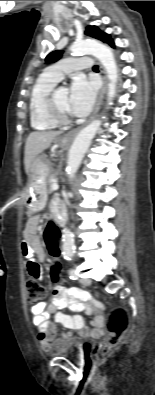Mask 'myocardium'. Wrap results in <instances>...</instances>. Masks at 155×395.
I'll use <instances>...</instances> for the list:
<instances>
[{"instance_id": "myocardium-1", "label": "myocardium", "mask_w": 155, "mask_h": 395, "mask_svg": "<svg viewBox=\"0 0 155 395\" xmlns=\"http://www.w3.org/2000/svg\"><path fill=\"white\" fill-rule=\"evenodd\" d=\"M59 87H54L45 99V111L48 117L57 125H66L71 122L70 117L63 113L56 102V93Z\"/></svg>"}]
</instances>
